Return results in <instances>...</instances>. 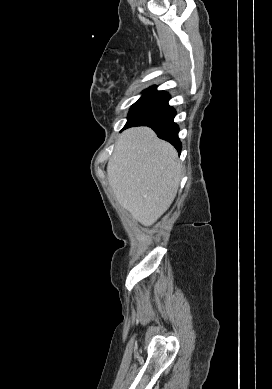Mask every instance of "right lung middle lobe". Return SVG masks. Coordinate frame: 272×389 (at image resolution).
Returning a JSON list of instances; mask_svg holds the SVG:
<instances>
[{
  "mask_svg": "<svg viewBox=\"0 0 272 389\" xmlns=\"http://www.w3.org/2000/svg\"><path fill=\"white\" fill-rule=\"evenodd\" d=\"M156 92H157L156 86H152V87H150V88L144 90V91H143V95L141 96V98H140L137 102H135V103L132 105V107H131V109H130V112H131L136 106H138L141 102H143L144 100H146L148 97H150L151 95H153V94L156 93ZM130 112H129V113H130Z\"/></svg>",
  "mask_w": 272,
  "mask_h": 389,
  "instance_id": "right-lung-middle-lobe-1",
  "label": "right lung middle lobe"
}]
</instances>
